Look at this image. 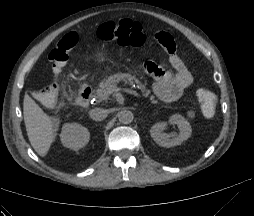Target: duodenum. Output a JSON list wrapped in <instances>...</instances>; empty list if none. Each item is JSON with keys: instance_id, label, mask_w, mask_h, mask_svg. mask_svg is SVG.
Segmentation results:
<instances>
[{"instance_id": "1", "label": "duodenum", "mask_w": 254, "mask_h": 216, "mask_svg": "<svg viewBox=\"0 0 254 216\" xmlns=\"http://www.w3.org/2000/svg\"><path fill=\"white\" fill-rule=\"evenodd\" d=\"M90 98L91 88L88 86L82 87L76 96V103L81 107H86L90 102Z\"/></svg>"}]
</instances>
